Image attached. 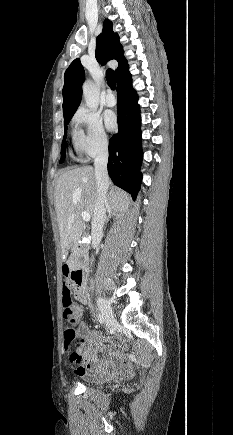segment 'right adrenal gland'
Listing matches in <instances>:
<instances>
[{
	"mask_svg": "<svg viewBox=\"0 0 233 435\" xmlns=\"http://www.w3.org/2000/svg\"><path fill=\"white\" fill-rule=\"evenodd\" d=\"M111 217H113V218H118V215L115 214V213H109V215H108V217H107V219H106V223L110 220Z\"/></svg>",
	"mask_w": 233,
	"mask_h": 435,
	"instance_id": "obj_1",
	"label": "right adrenal gland"
}]
</instances>
